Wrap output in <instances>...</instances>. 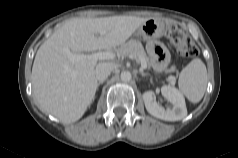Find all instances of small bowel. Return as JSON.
<instances>
[{
  "mask_svg": "<svg viewBox=\"0 0 238 158\" xmlns=\"http://www.w3.org/2000/svg\"><path fill=\"white\" fill-rule=\"evenodd\" d=\"M147 51L152 59L154 66L158 69L166 67L169 62V55L166 48L159 42H149Z\"/></svg>",
  "mask_w": 238,
  "mask_h": 158,
  "instance_id": "1",
  "label": "small bowel"
}]
</instances>
